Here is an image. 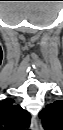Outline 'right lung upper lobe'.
<instances>
[{
	"instance_id": "cb5924a9",
	"label": "right lung upper lobe",
	"mask_w": 63,
	"mask_h": 130,
	"mask_svg": "<svg viewBox=\"0 0 63 130\" xmlns=\"http://www.w3.org/2000/svg\"><path fill=\"white\" fill-rule=\"evenodd\" d=\"M31 115L13 99L0 102V123L4 130H23L30 124Z\"/></svg>"
}]
</instances>
